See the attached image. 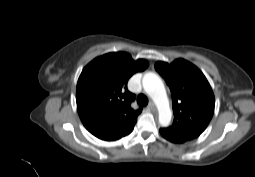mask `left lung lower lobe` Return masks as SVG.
I'll return each instance as SVG.
<instances>
[{
  "instance_id": "left-lung-lower-lobe-1",
  "label": "left lung lower lobe",
  "mask_w": 255,
  "mask_h": 177,
  "mask_svg": "<svg viewBox=\"0 0 255 177\" xmlns=\"http://www.w3.org/2000/svg\"><path fill=\"white\" fill-rule=\"evenodd\" d=\"M160 133H161V135H162L165 139H167V140H169V141H171V142H174V143H183V141H181L180 139H178V138H176V137L170 135L169 133H167V132L165 131V129H160Z\"/></svg>"
}]
</instances>
